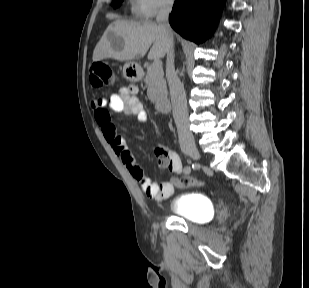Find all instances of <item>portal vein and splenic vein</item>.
<instances>
[{"label":"portal vein and splenic vein","mask_w":309,"mask_h":288,"mask_svg":"<svg viewBox=\"0 0 309 288\" xmlns=\"http://www.w3.org/2000/svg\"><path fill=\"white\" fill-rule=\"evenodd\" d=\"M152 67L154 69H160V68H162V62L159 59H154V61L152 63Z\"/></svg>","instance_id":"1"}]
</instances>
